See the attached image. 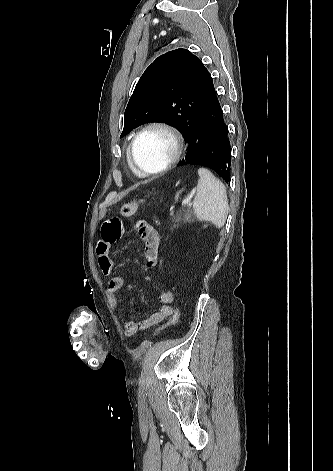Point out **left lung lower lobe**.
Here are the masks:
<instances>
[{
  "instance_id": "0a47b994",
  "label": "left lung lower lobe",
  "mask_w": 333,
  "mask_h": 471,
  "mask_svg": "<svg viewBox=\"0 0 333 471\" xmlns=\"http://www.w3.org/2000/svg\"><path fill=\"white\" fill-rule=\"evenodd\" d=\"M186 157L178 166L197 164L216 171L227 183L230 181L231 148L228 128L223 113L212 88L196 123L187 139Z\"/></svg>"
}]
</instances>
